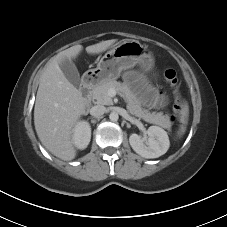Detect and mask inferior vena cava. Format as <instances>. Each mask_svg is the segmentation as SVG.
I'll use <instances>...</instances> for the list:
<instances>
[{"instance_id":"inferior-vena-cava-1","label":"inferior vena cava","mask_w":227,"mask_h":227,"mask_svg":"<svg viewBox=\"0 0 227 227\" xmlns=\"http://www.w3.org/2000/svg\"><path fill=\"white\" fill-rule=\"evenodd\" d=\"M105 112L106 108L102 105H96L90 109V114L95 117L102 116Z\"/></svg>"}]
</instances>
